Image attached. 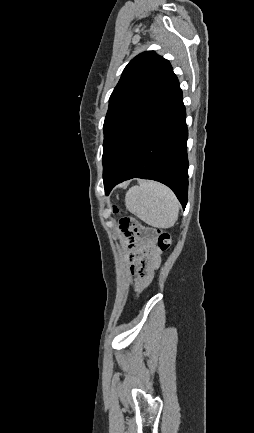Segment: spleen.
<instances>
[{
    "mask_svg": "<svg viewBox=\"0 0 254 433\" xmlns=\"http://www.w3.org/2000/svg\"><path fill=\"white\" fill-rule=\"evenodd\" d=\"M126 208L142 221L157 228H170L178 219L179 202L165 185L155 181H141L128 190Z\"/></svg>",
    "mask_w": 254,
    "mask_h": 433,
    "instance_id": "3e777b00",
    "label": "spleen"
}]
</instances>
